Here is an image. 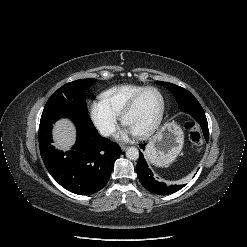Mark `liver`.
I'll return each instance as SVG.
<instances>
[{
	"instance_id": "1",
	"label": "liver",
	"mask_w": 247,
	"mask_h": 247,
	"mask_svg": "<svg viewBox=\"0 0 247 247\" xmlns=\"http://www.w3.org/2000/svg\"><path fill=\"white\" fill-rule=\"evenodd\" d=\"M54 145L61 150H68L75 141V127L68 119H62L54 126Z\"/></svg>"
}]
</instances>
